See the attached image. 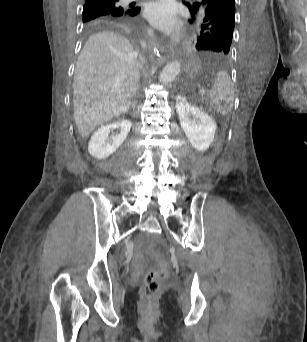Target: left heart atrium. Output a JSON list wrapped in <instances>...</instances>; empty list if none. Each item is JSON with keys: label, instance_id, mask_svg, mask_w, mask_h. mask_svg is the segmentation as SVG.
Segmentation results:
<instances>
[{"label": "left heart atrium", "instance_id": "39dd6f15", "mask_svg": "<svg viewBox=\"0 0 307 342\" xmlns=\"http://www.w3.org/2000/svg\"><path fill=\"white\" fill-rule=\"evenodd\" d=\"M149 23L156 29L173 35L180 28V22L176 18L175 7L168 1L151 3L145 12Z\"/></svg>", "mask_w": 307, "mask_h": 342}]
</instances>
